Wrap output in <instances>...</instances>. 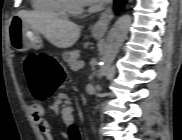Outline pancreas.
<instances>
[{
  "instance_id": "1",
  "label": "pancreas",
  "mask_w": 182,
  "mask_h": 140,
  "mask_svg": "<svg viewBox=\"0 0 182 140\" xmlns=\"http://www.w3.org/2000/svg\"><path fill=\"white\" fill-rule=\"evenodd\" d=\"M66 61L68 62L69 67L72 70H78V57H79V51L75 50V51H71L66 53V55L64 56Z\"/></svg>"
}]
</instances>
